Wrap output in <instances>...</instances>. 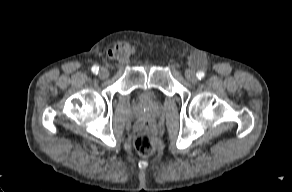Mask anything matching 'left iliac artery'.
<instances>
[{
    "label": "left iliac artery",
    "instance_id": "obj_1",
    "mask_svg": "<svg viewBox=\"0 0 292 192\" xmlns=\"http://www.w3.org/2000/svg\"><path fill=\"white\" fill-rule=\"evenodd\" d=\"M196 76H197L198 79L201 80L202 78H204L205 74H204V72L199 71V72H197Z\"/></svg>",
    "mask_w": 292,
    "mask_h": 192
}]
</instances>
